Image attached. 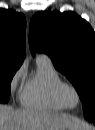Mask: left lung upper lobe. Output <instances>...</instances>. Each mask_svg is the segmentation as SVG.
<instances>
[{"label":"left lung upper lobe","mask_w":95,"mask_h":130,"mask_svg":"<svg viewBox=\"0 0 95 130\" xmlns=\"http://www.w3.org/2000/svg\"><path fill=\"white\" fill-rule=\"evenodd\" d=\"M32 54L49 55L55 68L73 83L86 119H95V33L74 12H39L30 22Z\"/></svg>","instance_id":"1"}]
</instances>
